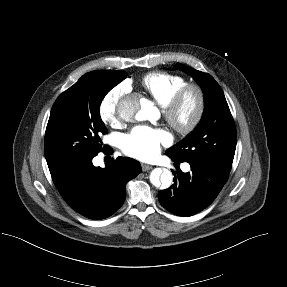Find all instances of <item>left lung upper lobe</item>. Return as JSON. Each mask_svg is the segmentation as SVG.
<instances>
[{
	"label": "left lung upper lobe",
	"instance_id": "left-lung-upper-lobe-1",
	"mask_svg": "<svg viewBox=\"0 0 287 287\" xmlns=\"http://www.w3.org/2000/svg\"><path fill=\"white\" fill-rule=\"evenodd\" d=\"M175 68L200 84L205 95V109L196 129L165 154L179 162L197 160L230 172L237 142L236 128L221 87L207 73L180 63Z\"/></svg>",
	"mask_w": 287,
	"mask_h": 287
}]
</instances>
